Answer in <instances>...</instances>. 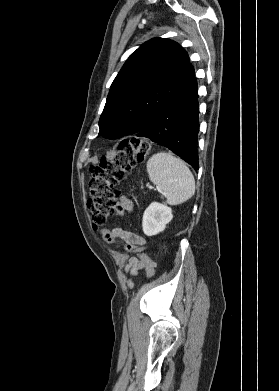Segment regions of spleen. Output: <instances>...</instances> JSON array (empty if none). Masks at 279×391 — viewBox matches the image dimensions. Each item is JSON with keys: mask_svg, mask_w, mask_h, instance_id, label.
I'll return each instance as SVG.
<instances>
[{"mask_svg": "<svg viewBox=\"0 0 279 391\" xmlns=\"http://www.w3.org/2000/svg\"><path fill=\"white\" fill-rule=\"evenodd\" d=\"M149 179L157 186L166 203L178 205L195 193V179L187 165L169 152H158L147 161Z\"/></svg>", "mask_w": 279, "mask_h": 391, "instance_id": "spleen-1", "label": "spleen"}]
</instances>
